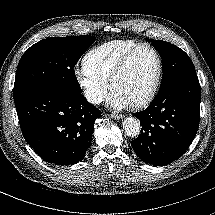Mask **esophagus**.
<instances>
[{
    "label": "esophagus",
    "instance_id": "obj_1",
    "mask_svg": "<svg viewBox=\"0 0 215 215\" xmlns=\"http://www.w3.org/2000/svg\"><path fill=\"white\" fill-rule=\"evenodd\" d=\"M113 118L119 120V119L124 118V115L117 114V115H114Z\"/></svg>",
    "mask_w": 215,
    "mask_h": 215
}]
</instances>
